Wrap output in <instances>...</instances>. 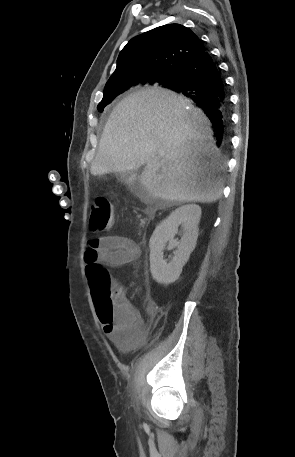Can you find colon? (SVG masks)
Instances as JSON below:
<instances>
[{
  "label": "colon",
  "instance_id": "colon-1",
  "mask_svg": "<svg viewBox=\"0 0 295 457\" xmlns=\"http://www.w3.org/2000/svg\"><path fill=\"white\" fill-rule=\"evenodd\" d=\"M113 219L114 211L111 202L105 197L96 198L91 206L90 229L96 233L109 231ZM85 272L98 318L104 322L112 321L118 315L122 303L119 286L113 283L108 272L98 262H89Z\"/></svg>",
  "mask_w": 295,
  "mask_h": 457
}]
</instances>
